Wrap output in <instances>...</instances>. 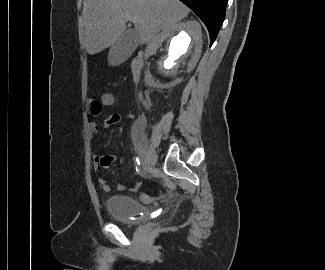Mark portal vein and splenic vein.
Segmentation results:
<instances>
[{
    "label": "portal vein and splenic vein",
    "mask_w": 325,
    "mask_h": 270,
    "mask_svg": "<svg viewBox=\"0 0 325 270\" xmlns=\"http://www.w3.org/2000/svg\"><path fill=\"white\" fill-rule=\"evenodd\" d=\"M127 20H130L133 23H138V19L136 17H127Z\"/></svg>",
    "instance_id": "1"
}]
</instances>
